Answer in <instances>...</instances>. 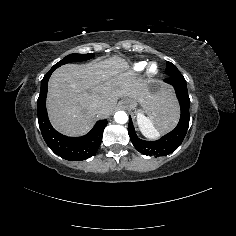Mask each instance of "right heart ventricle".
I'll return each mask as SVG.
<instances>
[{
  "instance_id": "e07e8e85",
  "label": "right heart ventricle",
  "mask_w": 236,
  "mask_h": 236,
  "mask_svg": "<svg viewBox=\"0 0 236 236\" xmlns=\"http://www.w3.org/2000/svg\"><path fill=\"white\" fill-rule=\"evenodd\" d=\"M145 67H146V62L144 61L136 62L132 66V72L135 74H139L145 69Z\"/></svg>"
}]
</instances>
